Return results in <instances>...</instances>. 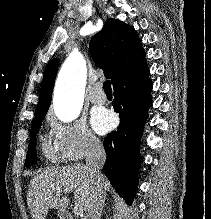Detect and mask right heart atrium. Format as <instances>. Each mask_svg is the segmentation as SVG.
<instances>
[{"label": "right heart atrium", "mask_w": 211, "mask_h": 219, "mask_svg": "<svg viewBox=\"0 0 211 219\" xmlns=\"http://www.w3.org/2000/svg\"><path fill=\"white\" fill-rule=\"evenodd\" d=\"M48 126L54 147L64 160L79 161L102 150L101 141L83 120L61 122L49 116Z\"/></svg>", "instance_id": "obj_1"}]
</instances>
